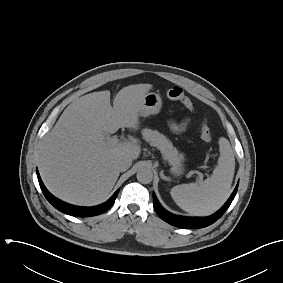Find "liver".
Wrapping results in <instances>:
<instances>
[{"label":"liver","mask_w":283,"mask_h":283,"mask_svg":"<svg viewBox=\"0 0 283 283\" xmlns=\"http://www.w3.org/2000/svg\"><path fill=\"white\" fill-rule=\"evenodd\" d=\"M151 84L122 88L113 107L110 91L86 94L62 113L39 150V171L47 189L59 199L75 205L103 201L119 177L120 158L139 157L136 143L112 147L105 136L119 128L139 127V107Z\"/></svg>","instance_id":"6515ba94"}]
</instances>
